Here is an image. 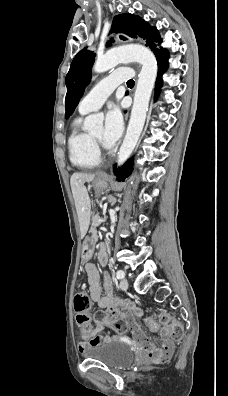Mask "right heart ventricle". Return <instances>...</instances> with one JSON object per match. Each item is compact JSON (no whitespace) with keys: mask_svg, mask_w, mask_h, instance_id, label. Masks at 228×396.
Listing matches in <instances>:
<instances>
[{"mask_svg":"<svg viewBox=\"0 0 228 396\" xmlns=\"http://www.w3.org/2000/svg\"><path fill=\"white\" fill-rule=\"evenodd\" d=\"M70 160L74 165L82 169H93L100 163L98 152L92 136L82 127V118L73 122L72 130L68 138Z\"/></svg>","mask_w":228,"mask_h":396,"instance_id":"obj_1","label":"right heart ventricle"}]
</instances>
